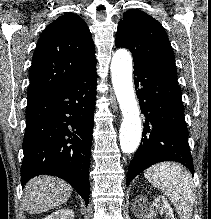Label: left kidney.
<instances>
[{"label": "left kidney", "instance_id": "1", "mask_svg": "<svg viewBox=\"0 0 211 219\" xmlns=\"http://www.w3.org/2000/svg\"><path fill=\"white\" fill-rule=\"evenodd\" d=\"M158 215H164L165 219H176L170 204L164 196H157L153 204L149 207L144 219H157Z\"/></svg>", "mask_w": 211, "mask_h": 219}]
</instances>
